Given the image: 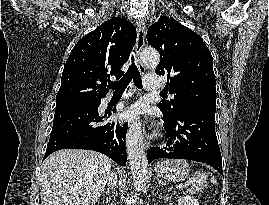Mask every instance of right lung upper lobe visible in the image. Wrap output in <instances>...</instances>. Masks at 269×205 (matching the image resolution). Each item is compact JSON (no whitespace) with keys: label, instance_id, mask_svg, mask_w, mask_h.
Returning <instances> with one entry per match:
<instances>
[{"label":"right lung upper lobe","instance_id":"cb5924a9","mask_svg":"<svg viewBox=\"0 0 269 205\" xmlns=\"http://www.w3.org/2000/svg\"><path fill=\"white\" fill-rule=\"evenodd\" d=\"M136 41L134 25L112 18L85 35L73 48L63 69L56 109L100 102L110 76L119 79Z\"/></svg>","mask_w":269,"mask_h":205}]
</instances>
